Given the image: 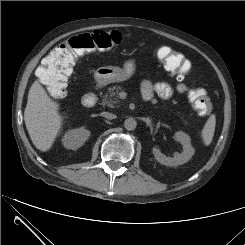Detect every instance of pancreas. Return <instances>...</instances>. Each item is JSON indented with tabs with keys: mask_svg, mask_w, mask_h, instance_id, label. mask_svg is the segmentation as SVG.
Wrapping results in <instances>:
<instances>
[{
	"mask_svg": "<svg viewBox=\"0 0 245 245\" xmlns=\"http://www.w3.org/2000/svg\"><path fill=\"white\" fill-rule=\"evenodd\" d=\"M122 90L120 86L109 87L107 93L103 96L102 105L114 107L115 104L119 102L118 94Z\"/></svg>",
	"mask_w": 245,
	"mask_h": 245,
	"instance_id": "obj_1",
	"label": "pancreas"
}]
</instances>
